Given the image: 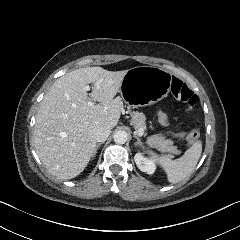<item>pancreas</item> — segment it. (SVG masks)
I'll return each mask as SVG.
<instances>
[{
    "mask_svg": "<svg viewBox=\"0 0 240 240\" xmlns=\"http://www.w3.org/2000/svg\"><path fill=\"white\" fill-rule=\"evenodd\" d=\"M131 116V124L132 126L138 130L139 128L146 127V117L143 113H140L138 110L130 112ZM148 144L152 148H156L157 150L161 151L162 153L172 152L173 154H179V150L177 147L173 146V141L170 139L164 140L162 136L156 135L148 138ZM170 158L173 155H169Z\"/></svg>",
    "mask_w": 240,
    "mask_h": 240,
    "instance_id": "cf45deb5",
    "label": "pancreas"
}]
</instances>
